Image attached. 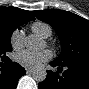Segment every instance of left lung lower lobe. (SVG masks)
<instances>
[{
  "instance_id": "0a47b994",
  "label": "left lung lower lobe",
  "mask_w": 89,
  "mask_h": 89,
  "mask_svg": "<svg viewBox=\"0 0 89 89\" xmlns=\"http://www.w3.org/2000/svg\"><path fill=\"white\" fill-rule=\"evenodd\" d=\"M51 66H58V72L47 71L46 79L39 83V89H89V62H77L61 65L56 61Z\"/></svg>"
}]
</instances>
